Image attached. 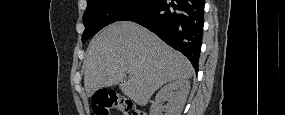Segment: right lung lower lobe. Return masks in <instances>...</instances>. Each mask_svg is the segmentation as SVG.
Returning <instances> with one entry per match:
<instances>
[{"label": "right lung lower lobe", "instance_id": "98d812e1", "mask_svg": "<svg viewBox=\"0 0 285 115\" xmlns=\"http://www.w3.org/2000/svg\"><path fill=\"white\" fill-rule=\"evenodd\" d=\"M204 0H155L122 20L134 21L183 53L198 72L204 25Z\"/></svg>", "mask_w": 285, "mask_h": 115}]
</instances>
